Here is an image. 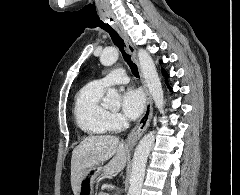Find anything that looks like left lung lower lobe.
I'll use <instances>...</instances> for the list:
<instances>
[{"instance_id": "obj_1", "label": "left lung lower lobe", "mask_w": 240, "mask_h": 195, "mask_svg": "<svg viewBox=\"0 0 240 195\" xmlns=\"http://www.w3.org/2000/svg\"><path fill=\"white\" fill-rule=\"evenodd\" d=\"M162 73H163L164 77L167 79V78H168L167 72H166L164 69H162ZM169 88H170V87H169Z\"/></svg>"}]
</instances>
